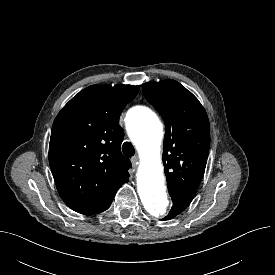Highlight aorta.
I'll return each instance as SVG.
<instances>
[{
	"mask_svg": "<svg viewBox=\"0 0 275 275\" xmlns=\"http://www.w3.org/2000/svg\"><path fill=\"white\" fill-rule=\"evenodd\" d=\"M127 117L128 133L141 157L137 178L138 194L147 214L159 219L166 215L169 208L160 158L162 123L153 111L143 106L131 109Z\"/></svg>",
	"mask_w": 275,
	"mask_h": 275,
	"instance_id": "1",
	"label": "aorta"
}]
</instances>
